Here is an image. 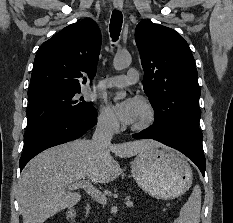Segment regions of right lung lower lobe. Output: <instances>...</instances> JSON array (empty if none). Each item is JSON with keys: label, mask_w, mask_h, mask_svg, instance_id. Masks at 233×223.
<instances>
[{"label": "right lung lower lobe", "mask_w": 233, "mask_h": 223, "mask_svg": "<svg viewBox=\"0 0 233 223\" xmlns=\"http://www.w3.org/2000/svg\"><path fill=\"white\" fill-rule=\"evenodd\" d=\"M96 124L97 111L92 107L52 122L26 135L24 150L19 162L20 171L43 150L77 139Z\"/></svg>", "instance_id": "1"}]
</instances>
